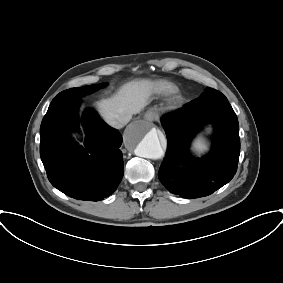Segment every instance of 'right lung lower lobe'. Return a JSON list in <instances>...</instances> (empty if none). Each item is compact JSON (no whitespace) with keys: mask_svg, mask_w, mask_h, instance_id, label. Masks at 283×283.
<instances>
[{"mask_svg":"<svg viewBox=\"0 0 283 283\" xmlns=\"http://www.w3.org/2000/svg\"><path fill=\"white\" fill-rule=\"evenodd\" d=\"M78 95L55 97L40 127V156L51 184L79 200L98 201L112 194L123 177L118 130L87 111L81 121L89 129L85 148L73 142L67 130L78 125Z\"/></svg>","mask_w":283,"mask_h":283,"instance_id":"1","label":"right lung lower lobe"}]
</instances>
